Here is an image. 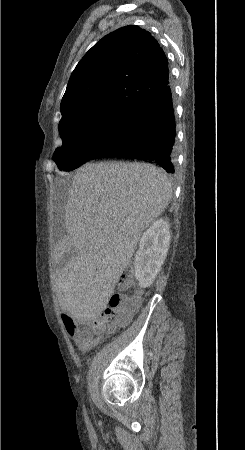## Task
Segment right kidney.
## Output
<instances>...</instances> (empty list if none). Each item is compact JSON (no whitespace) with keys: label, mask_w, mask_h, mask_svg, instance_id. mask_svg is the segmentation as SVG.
<instances>
[{"label":"right kidney","mask_w":245,"mask_h":450,"mask_svg":"<svg viewBox=\"0 0 245 450\" xmlns=\"http://www.w3.org/2000/svg\"><path fill=\"white\" fill-rule=\"evenodd\" d=\"M170 241L169 223L160 218L143 233L135 254V278L141 287H149L166 258Z\"/></svg>","instance_id":"right-kidney-1"}]
</instances>
